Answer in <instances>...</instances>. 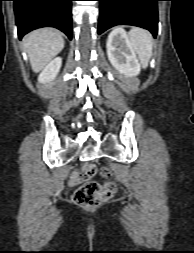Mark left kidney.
Instances as JSON below:
<instances>
[{
	"instance_id": "obj_1",
	"label": "left kidney",
	"mask_w": 194,
	"mask_h": 253,
	"mask_svg": "<svg viewBox=\"0 0 194 253\" xmlns=\"http://www.w3.org/2000/svg\"><path fill=\"white\" fill-rule=\"evenodd\" d=\"M107 55L110 63L119 73L127 77L137 76L140 73V64L123 29L116 28L109 34Z\"/></svg>"
}]
</instances>
